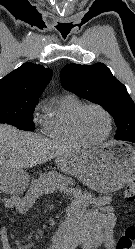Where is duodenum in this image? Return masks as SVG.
<instances>
[{
  "mask_svg": "<svg viewBox=\"0 0 135 249\" xmlns=\"http://www.w3.org/2000/svg\"><path fill=\"white\" fill-rule=\"evenodd\" d=\"M63 249H92V244L89 242L87 235H72L65 239L60 246Z\"/></svg>",
  "mask_w": 135,
  "mask_h": 249,
  "instance_id": "duodenum-1",
  "label": "duodenum"
}]
</instances>
